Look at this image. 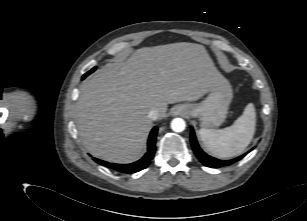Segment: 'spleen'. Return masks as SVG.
I'll list each match as a JSON object with an SVG mask.
<instances>
[{
    "instance_id": "obj_1",
    "label": "spleen",
    "mask_w": 307,
    "mask_h": 221,
    "mask_svg": "<svg viewBox=\"0 0 307 221\" xmlns=\"http://www.w3.org/2000/svg\"><path fill=\"white\" fill-rule=\"evenodd\" d=\"M255 127L256 111L249 103L233 125L218 130L201 128L199 135L211 154L226 159L243 153L253 139Z\"/></svg>"
}]
</instances>
